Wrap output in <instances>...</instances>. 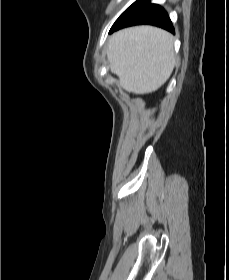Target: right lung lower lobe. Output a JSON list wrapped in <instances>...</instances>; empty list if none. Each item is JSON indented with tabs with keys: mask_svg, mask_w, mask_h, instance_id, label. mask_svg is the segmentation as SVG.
<instances>
[{
	"mask_svg": "<svg viewBox=\"0 0 229 280\" xmlns=\"http://www.w3.org/2000/svg\"><path fill=\"white\" fill-rule=\"evenodd\" d=\"M150 24L166 29L174 33V28L166 11L156 4H150V0H137L116 20L110 29V33L124 27Z\"/></svg>",
	"mask_w": 229,
	"mask_h": 280,
	"instance_id": "right-lung-lower-lobe-1",
	"label": "right lung lower lobe"
}]
</instances>
